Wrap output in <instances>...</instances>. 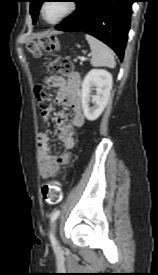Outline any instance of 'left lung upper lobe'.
<instances>
[{
    "label": "left lung upper lobe",
    "instance_id": "1",
    "mask_svg": "<svg viewBox=\"0 0 158 275\" xmlns=\"http://www.w3.org/2000/svg\"><path fill=\"white\" fill-rule=\"evenodd\" d=\"M31 2V8L30 13L33 18V22L35 23L38 17V11L40 9L41 4L44 2V0H30Z\"/></svg>",
    "mask_w": 158,
    "mask_h": 275
}]
</instances>
